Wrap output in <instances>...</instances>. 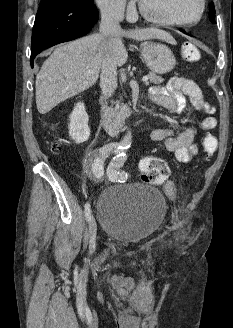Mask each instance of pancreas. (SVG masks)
<instances>
[{"label":"pancreas","instance_id":"obj_1","mask_svg":"<svg viewBox=\"0 0 233 328\" xmlns=\"http://www.w3.org/2000/svg\"><path fill=\"white\" fill-rule=\"evenodd\" d=\"M147 77L149 78L150 80V83H153V84H161L164 79L161 77V76H158L155 72L153 71H150L147 75ZM113 104H115V107H109L108 108V111L113 115V116H116L121 107L123 106L122 103H120V101H116L114 102Z\"/></svg>","mask_w":233,"mask_h":328}]
</instances>
